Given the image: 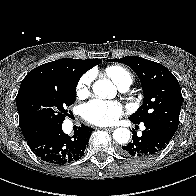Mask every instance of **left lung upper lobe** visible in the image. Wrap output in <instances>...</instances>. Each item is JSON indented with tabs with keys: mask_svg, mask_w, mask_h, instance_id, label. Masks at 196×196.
Masks as SVG:
<instances>
[{
	"mask_svg": "<svg viewBox=\"0 0 196 196\" xmlns=\"http://www.w3.org/2000/svg\"><path fill=\"white\" fill-rule=\"evenodd\" d=\"M107 61L126 64L140 79L143 104L129 118L137 123L157 122L174 134L183 101L180 85L174 75L162 64L141 57L126 56Z\"/></svg>",
	"mask_w": 196,
	"mask_h": 196,
	"instance_id": "left-lung-upper-lobe-1",
	"label": "left lung upper lobe"
}]
</instances>
